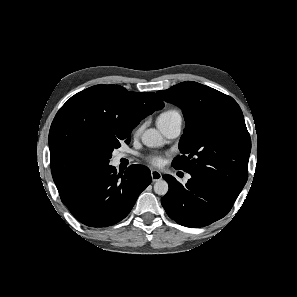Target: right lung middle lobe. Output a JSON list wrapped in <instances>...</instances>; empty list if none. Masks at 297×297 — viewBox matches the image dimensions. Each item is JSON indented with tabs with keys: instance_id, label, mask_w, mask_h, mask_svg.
<instances>
[{
	"instance_id": "right-lung-middle-lobe-1",
	"label": "right lung middle lobe",
	"mask_w": 297,
	"mask_h": 297,
	"mask_svg": "<svg viewBox=\"0 0 297 297\" xmlns=\"http://www.w3.org/2000/svg\"><path fill=\"white\" fill-rule=\"evenodd\" d=\"M130 138L125 140L126 143H129ZM121 141L114 142L113 144L109 145L106 149V155H107V162L109 163V159L111 158L112 151L114 148H119L121 146Z\"/></svg>"
}]
</instances>
